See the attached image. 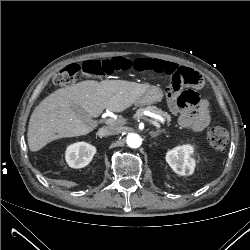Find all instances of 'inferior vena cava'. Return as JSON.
<instances>
[{
  "label": "inferior vena cava",
  "instance_id": "inferior-vena-cava-1",
  "mask_svg": "<svg viewBox=\"0 0 250 250\" xmlns=\"http://www.w3.org/2000/svg\"><path fill=\"white\" fill-rule=\"evenodd\" d=\"M120 132V129L118 127L114 126H106L99 130L100 135H115Z\"/></svg>",
  "mask_w": 250,
  "mask_h": 250
}]
</instances>
